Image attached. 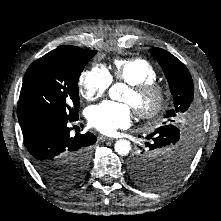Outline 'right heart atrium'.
<instances>
[{
  "mask_svg": "<svg viewBox=\"0 0 221 221\" xmlns=\"http://www.w3.org/2000/svg\"><path fill=\"white\" fill-rule=\"evenodd\" d=\"M112 83V77L103 66H93L84 71L79 78V90L86 100L101 97Z\"/></svg>",
  "mask_w": 221,
  "mask_h": 221,
  "instance_id": "right-heart-atrium-1",
  "label": "right heart atrium"
}]
</instances>
